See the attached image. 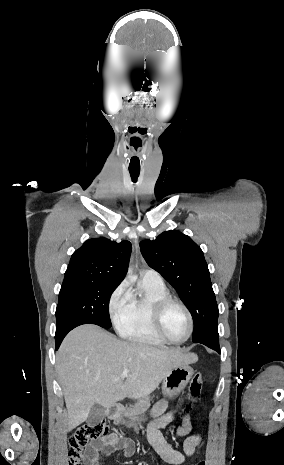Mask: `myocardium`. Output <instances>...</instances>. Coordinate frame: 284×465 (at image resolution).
Instances as JSON below:
<instances>
[{"label":"myocardium","instance_id":"f54148a6","mask_svg":"<svg viewBox=\"0 0 284 465\" xmlns=\"http://www.w3.org/2000/svg\"><path fill=\"white\" fill-rule=\"evenodd\" d=\"M172 306H179L181 307L185 313L187 314L188 320H189V331L186 335V337L180 341H173L169 339L166 334L164 333L163 329V322L165 315L167 311L169 310L170 307ZM152 328L155 332V334L166 344L169 345H182L186 343L190 337L193 334L194 331V318L191 313V311L188 309V307L183 304L182 302L173 299V298H164L161 299L160 301L157 302L154 312H153V321L151 322Z\"/></svg>","mask_w":284,"mask_h":465}]
</instances>
